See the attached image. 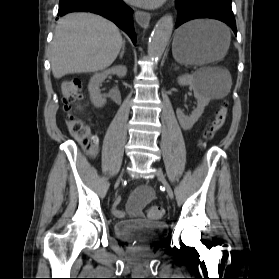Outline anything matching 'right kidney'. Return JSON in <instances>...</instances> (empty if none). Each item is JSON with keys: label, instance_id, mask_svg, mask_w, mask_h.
Listing matches in <instances>:
<instances>
[{"label": "right kidney", "instance_id": "obj_1", "mask_svg": "<svg viewBox=\"0 0 279 279\" xmlns=\"http://www.w3.org/2000/svg\"><path fill=\"white\" fill-rule=\"evenodd\" d=\"M127 68L123 65H118L112 67L106 71L101 73H97L91 77L90 82L88 84V91L90 95V100L93 105L97 108L103 107L106 104V99L102 97L100 86L102 82L107 78L109 74H115L118 77L126 76Z\"/></svg>", "mask_w": 279, "mask_h": 279}]
</instances>
